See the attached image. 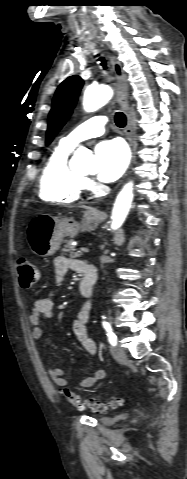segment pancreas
<instances>
[{
	"label": "pancreas",
	"mask_w": 187,
	"mask_h": 479,
	"mask_svg": "<svg viewBox=\"0 0 187 479\" xmlns=\"http://www.w3.org/2000/svg\"><path fill=\"white\" fill-rule=\"evenodd\" d=\"M64 243H65L64 249H63L64 252H70V256L73 258H78L82 256L81 252H74L75 249L72 245L73 243L72 239L64 240Z\"/></svg>",
	"instance_id": "cf45deb5"
}]
</instances>
